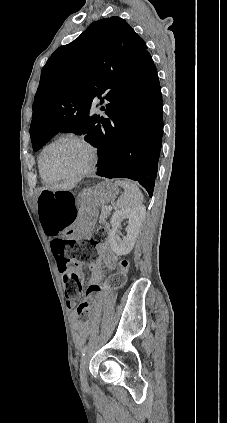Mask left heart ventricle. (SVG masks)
I'll return each instance as SVG.
<instances>
[{"label": "left heart ventricle", "mask_w": 227, "mask_h": 423, "mask_svg": "<svg viewBox=\"0 0 227 423\" xmlns=\"http://www.w3.org/2000/svg\"><path fill=\"white\" fill-rule=\"evenodd\" d=\"M90 160V150L79 142H67L49 156L51 167L67 174L81 172L88 166Z\"/></svg>", "instance_id": "b2bd125f"}]
</instances>
